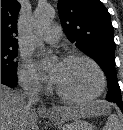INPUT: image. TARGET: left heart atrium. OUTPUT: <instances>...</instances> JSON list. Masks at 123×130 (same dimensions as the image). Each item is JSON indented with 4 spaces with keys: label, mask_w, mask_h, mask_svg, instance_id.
<instances>
[{
    "label": "left heart atrium",
    "mask_w": 123,
    "mask_h": 130,
    "mask_svg": "<svg viewBox=\"0 0 123 130\" xmlns=\"http://www.w3.org/2000/svg\"><path fill=\"white\" fill-rule=\"evenodd\" d=\"M51 77H53V73L51 72Z\"/></svg>",
    "instance_id": "1"
}]
</instances>
